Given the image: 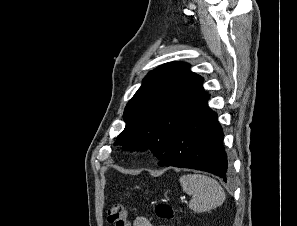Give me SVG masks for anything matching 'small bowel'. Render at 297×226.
Returning a JSON list of instances; mask_svg holds the SVG:
<instances>
[{
	"instance_id": "1",
	"label": "small bowel",
	"mask_w": 297,
	"mask_h": 226,
	"mask_svg": "<svg viewBox=\"0 0 297 226\" xmlns=\"http://www.w3.org/2000/svg\"><path fill=\"white\" fill-rule=\"evenodd\" d=\"M133 226H153L150 221L145 217H137L134 220Z\"/></svg>"
}]
</instances>
